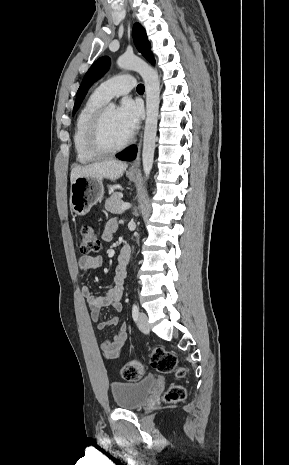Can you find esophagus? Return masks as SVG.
I'll use <instances>...</instances> for the list:
<instances>
[{
    "label": "esophagus",
    "instance_id": "obj_1",
    "mask_svg": "<svg viewBox=\"0 0 289 465\" xmlns=\"http://www.w3.org/2000/svg\"><path fill=\"white\" fill-rule=\"evenodd\" d=\"M141 145H142V134L140 135V139L137 143V154L134 160L132 161L130 165V171H138L140 167V150H141Z\"/></svg>",
    "mask_w": 289,
    "mask_h": 465
}]
</instances>
